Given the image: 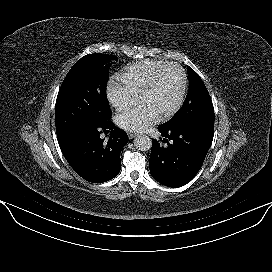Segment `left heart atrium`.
I'll use <instances>...</instances> for the list:
<instances>
[{"instance_id":"left-heart-atrium-1","label":"left heart atrium","mask_w":272,"mask_h":272,"mask_svg":"<svg viewBox=\"0 0 272 272\" xmlns=\"http://www.w3.org/2000/svg\"><path fill=\"white\" fill-rule=\"evenodd\" d=\"M159 118L157 112L146 103L124 110L116 116L117 125L128 131H143Z\"/></svg>"}]
</instances>
